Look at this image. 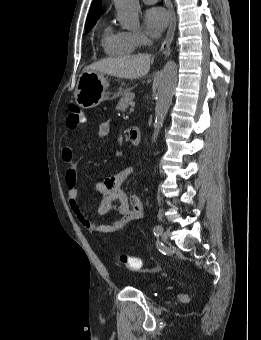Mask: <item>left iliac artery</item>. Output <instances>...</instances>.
<instances>
[{
    "instance_id": "1",
    "label": "left iliac artery",
    "mask_w": 261,
    "mask_h": 340,
    "mask_svg": "<svg viewBox=\"0 0 261 340\" xmlns=\"http://www.w3.org/2000/svg\"><path fill=\"white\" fill-rule=\"evenodd\" d=\"M162 231H163V228L161 225L155 226L153 230L155 236L161 235Z\"/></svg>"
}]
</instances>
